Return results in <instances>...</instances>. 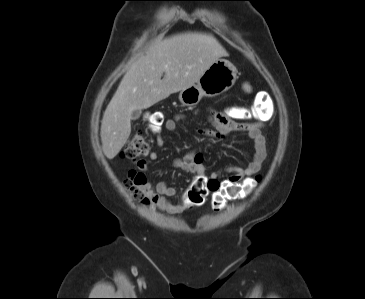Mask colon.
<instances>
[{
  "instance_id": "colon-1",
  "label": "colon",
  "mask_w": 365,
  "mask_h": 299,
  "mask_svg": "<svg viewBox=\"0 0 365 299\" xmlns=\"http://www.w3.org/2000/svg\"><path fill=\"white\" fill-rule=\"evenodd\" d=\"M264 115L265 112L262 115H256V112L253 110H249L244 106L234 105L226 111L224 117L238 120L248 118L249 116L259 118ZM145 123L149 130H159L163 123L162 113L159 111L147 113L145 116ZM148 151V143L139 131L131 137L122 152V156L128 160L137 161L141 156L146 155ZM259 181L260 177L256 176L230 183L196 182L192 184L185 193L183 205L187 209L201 206L205 202L207 196L211 194L213 209L220 211L225 207L228 201L244 198L249 195ZM123 185L134 200L144 205H148L151 202L143 189L146 185V177L143 173L136 170H130Z\"/></svg>"
}]
</instances>
